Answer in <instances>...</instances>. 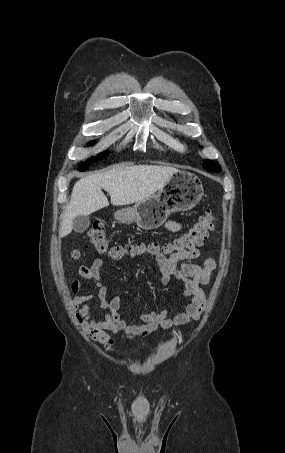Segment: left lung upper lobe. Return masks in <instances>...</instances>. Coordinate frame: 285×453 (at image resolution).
Returning a JSON list of instances; mask_svg holds the SVG:
<instances>
[{
  "instance_id": "left-lung-upper-lobe-1",
  "label": "left lung upper lobe",
  "mask_w": 285,
  "mask_h": 453,
  "mask_svg": "<svg viewBox=\"0 0 285 453\" xmlns=\"http://www.w3.org/2000/svg\"><path fill=\"white\" fill-rule=\"evenodd\" d=\"M203 168L208 170V171H212V172H220L221 171V167L218 164V162L213 161V160H205L203 162Z\"/></svg>"
}]
</instances>
